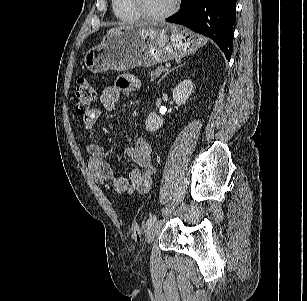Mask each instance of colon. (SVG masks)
<instances>
[{"label": "colon", "instance_id": "obj_1", "mask_svg": "<svg viewBox=\"0 0 307 301\" xmlns=\"http://www.w3.org/2000/svg\"><path fill=\"white\" fill-rule=\"evenodd\" d=\"M97 98L96 87L94 83L86 78H80L75 89V108L80 115L87 114L95 103ZM130 232L133 237H136L139 232V227L135 221L130 222Z\"/></svg>", "mask_w": 307, "mask_h": 301}]
</instances>
